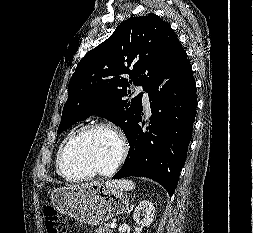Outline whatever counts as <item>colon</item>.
Listing matches in <instances>:
<instances>
[{"mask_svg":"<svg viewBox=\"0 0 253 233\" xmlns=\"http://www.w3.org/2000/svg\"><path fill=\"white\" fill-rule=\"evenodd\" d=\"M44 216L47 233H67L64 222L60 219L53 206L48 205L44 208Z\"/></svg>","mask_w":253,"mask_h":233,"instance_id":"1","label":"colon"}]
</instances>
